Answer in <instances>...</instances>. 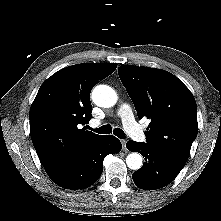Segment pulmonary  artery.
Here are the masks:
<instances>
[{"label":"pulmonary artery","mask_w":221,"mask_h":221,"mask_svg":"<svg viewBox=\"0 0 221 221\" xmlns=\"http://www.w3.org/2000/svg\"><path fill=\"white\" fill-rule=\"evenodd\" d=\"M118 116L121 118L123 126L126 132L136 141L144 142L146 135L143 130L139 127L134 119L132 110L128 104H122L118 109ZM93 126L99 125V121L94 120Z\"/></svg>","instance_id":"1"}]
</instances>
